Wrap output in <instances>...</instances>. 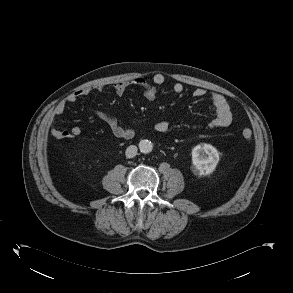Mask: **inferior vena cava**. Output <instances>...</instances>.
I'll return each mask as SVG.
<instances>
[{
    "label": "inferior vena cava",
    "mask_w": 293,
    "mask_h": 293,
    "mask_svg": "<svg viewBox=\"0 0 293 293\" xmlns=\"http://www.w3.org/2000/svg\"><path fill=\"white\" fill-rule=\"evenodd\" d=\"M136 154H137V147L135 145H130L129 147H127L125 151V155L127 158H133L136 156Z\"/></svg>",
    "instance_id": "1"
}]
</instances>
